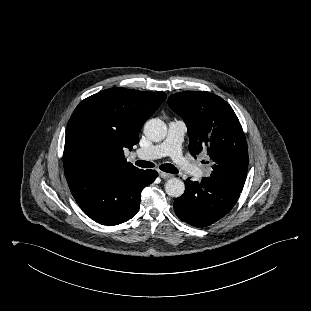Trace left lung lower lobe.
<instances>
[{
    "mask_svg": "<svg viewBox=\"0 0 311 311\" xmlns=\"http://www.w3.org/2000/svg\"><path fill=\"white\" fill-rule=\"evenodd\" d=\"M239 196V192L211 177H203L201 182L187 179L184 194L174 201V211L181 221L206 227L224 217Z\"/></svg>",
    "mask_w": 311,
    "mask_h": 311,
    "instance_id": "left-lung-lower-lobe-1",
    "label": "left lung lower lobe"
}]
</instances>
